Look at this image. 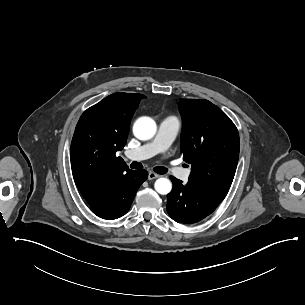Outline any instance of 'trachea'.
<instances>
[{
  "label": "trachea",
  "instance_id": "1",
  "mask_svg": "<svg viewBox=\"0 0 305 305\" xmlns=\"http://www.w3.org/2000/svg\"><path fill=\"white\" fill-rule=\"evenodd\" d=\"M130 167L134 168V169H141V168H143V165L139 162L134 161L130 164ZM154 171L158 174L163 175V174L168 173L169 169L166 167H163V166H157V167H154Z\"/></svg>",
  "mask_w": 305,
  "mask_h": 305
}]
</instances>
